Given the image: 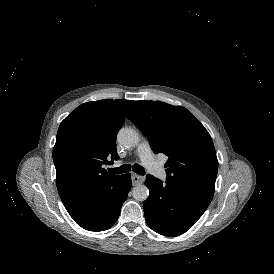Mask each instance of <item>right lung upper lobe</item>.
Returning <instances> with one entry per match:
<instances>
[{
    "mask_svg": "<svg viewBox=\"0 0 274 274\" xmlns=\"http://www.w3.org/2000/svg\"><path fill=\"white\" fill-rule=\"evenodd\" d=\"M131 100H99L77 107L60 124L53 148L56 184L68 212L89 203L120 175L102 168L117 160L116 135Z\"/></svg>",
    "mask_w": 274,
    "mask_h": 274,
    "instance_id": "obj_1",
    "label": "right lung upper lobe"
}]
</instances>
